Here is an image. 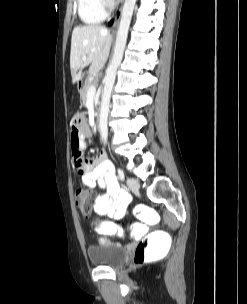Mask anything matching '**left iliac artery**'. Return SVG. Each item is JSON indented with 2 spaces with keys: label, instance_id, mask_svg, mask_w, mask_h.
I'll return each instance as SVG.
<instances>
[{
  "label": "left iliac artery",
  "instance_id": "1",
  "mask_svg": "<svg viewBox=\"0 0 247 304\" xmlns=\"http://www.w3.org/2000/svg\"><path fill=\"white\" fill-rule=\"evenodd\" d=\"M118 176L122 181L125 179V174H124L123 170L118 169Z\"/></svg>",
  "mask_w": 247,
  "mask_h": 304
}]
</instances>
